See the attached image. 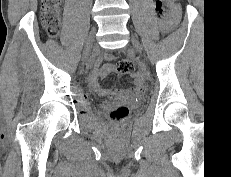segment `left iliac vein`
Instances as JSON below:
<instances>
[{
  "instance_id": "1",
  "label": "left iliac vein",
  "mask_w": 231,
  "mask_h": 177,
  "mask_svg": "<svg viewBox=\"0 0 231 177\" xmlns=\"http://www.w3.org/2000/svg\"><path fill=\"white\" fill-rule=\"evenodd\" d=\"M131 42H132V45L135 47V49L138 52H140L141 51V47H140L139 41L134 36L131 37Z\"/></svg>"
}]
</instances>
